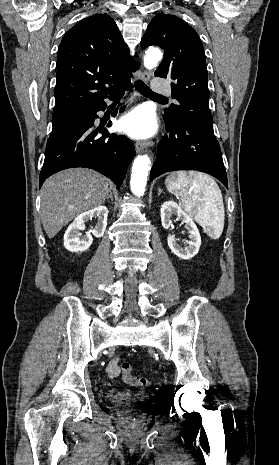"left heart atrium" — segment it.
Instances as JSON below:
<instances>
[{
	"label": "left heart atrium",
	"instance_id": "1",
	"mask_svg": "<svg viewBox=\"0 0 279 465\" xmlns=\"http://www.w3.org/2000/svg\"><path fill=\"white\" fill-rule=\"evenodd\" d=\"M119 128L135 139L149 138L157 130V122L154 113L145 106L133 109L119 122Z\"/></svg>",
	"mask_w": 279,
	"mask_h": 465
}]
</instances>
